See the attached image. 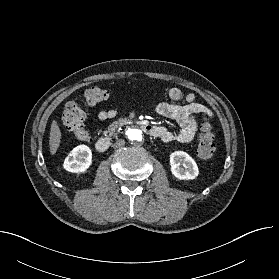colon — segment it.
Masks as SVG:
<instances>
[{"label":"colon","mask_w":279,"mask_h":279,"mask_svg":"<svg viewBox=\"0 0 279 279\" xmlns=\"http://www.w3.org/2000/svg\"><path fill=\"white\" fill-rule=\"evenodd\" d=\"M109 97V92L100 87H91L85 90L83 94L84 103L87 106L96 105ZM62 122L64 126L73 132L81 141L89 142L91 136L85 128V113L75 102H68L62 113ZM215 153L214 134L212 126L208 121H204L199 135V145L197 154L201 159H210Z\"/></svg>","instance_id":"colon-1"}]
</instances>
